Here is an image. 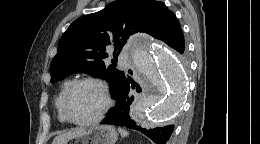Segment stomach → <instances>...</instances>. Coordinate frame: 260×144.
Segmentation results:
<instances>
[{
	"label": "stomach",
	"instance_id": "0dacf381",
	"mask_svg": "<svg viewBox=\"0 0 260 144\" xmlns=\"http://www.w3.org/2000/svg\"><path fill=\"white\" fill-rule=\"evenodd\" d=\"M118 138L116 129L111 125H96L84 129L71 139L69 144H115Z\"/></svg>",
	"mask_w": 260,
	"mask_h": 144
}]
</instances>
